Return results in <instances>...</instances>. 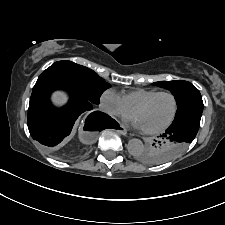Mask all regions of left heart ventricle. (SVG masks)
Masks as SVG:
<instances>
[{"mask_svg": "<svg viewBox=\"0 0 225 225\" xmlns=\"http://www.w3.org/2000/svg\"><path fill=\"white\" fill-rule=\"evenodd\" d=\"M173 106V100L169 95H161L139 110L135 117L141 123L143 129L158 128L169 120L173 112Z\"/></svg>", "mask_w": 225, "mask_h": 225, "instance_id": "left-heart-ventricle-1", "label": "left heart ventricle"}]
</instances>
